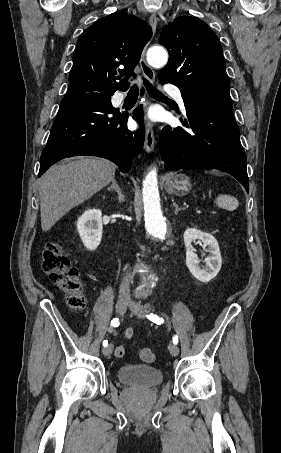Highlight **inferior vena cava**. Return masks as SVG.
<instances>
[{"label":"inferior vena cava","instance_id":"inferior-vena-cava-1","mask_svg":"<svg viewBox=\"0 0 281 453\" xmlns=\"http://www.w3.org/2000/svg\"><path fill=\"white\" fill-rule=\"evenodd\" d=\"M120 301H130V275L123 277L119 289Z\"/></svg>","mask_w":281,"mask_h":453}]
</instances>
